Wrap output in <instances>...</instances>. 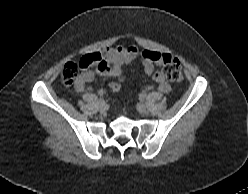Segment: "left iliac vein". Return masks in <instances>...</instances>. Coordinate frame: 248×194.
Instances as JSON below:
<instances>
[{
  "mask_svg": "<svg viewBox=\"0 0 248 194\" xmlns=\"http://www.w3.org/2000/svg\"><path fill=\"white\" fill-rule=\"evenodd\" d=\"M137 110L141 114H145L147 112V108L144 104L140 103L137 105Z\"/></svg>",
  "mask_w": 248,
  "mask_h": 194,
  "instance_id": "1",
  "label": "left iliac vein"
}]
</instances>
